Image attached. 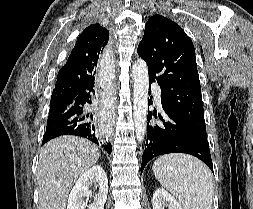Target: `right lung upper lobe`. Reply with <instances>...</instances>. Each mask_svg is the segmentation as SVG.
<instances>
[{
	"mask_svg": "<svg viewBox=\"0 0 253 209\" xmlns=\"http://www.w3.org/2000/svg\"><path fill=\"white\" fill-rule=\"evenodd\" d=\"M108 40L109 31L99 23L83 30L58 73L51 100L71 99L94 86L97 61Z\"/></svg>",
	"mask_w": 253,
	"mask_h": 209,
	"instance_id": "right-lung-upper-lobe-1",
	"label": "right lung upper lobe"
}]
</instances>
